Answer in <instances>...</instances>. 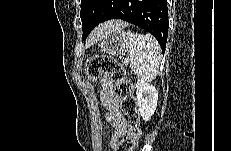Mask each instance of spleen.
Listing matches in <instances>:
<instances>
[{
	"instance_id": "spleen-1",
	"label": "spleen",
	"mask_w": 231,
	"mask_h": 151,
	"mask_svg": "<svg viewBox=\"0 0 231 151\" xmlns=\"http://www.w3.org/2000/svg\"><path fill=\"white\" fill-rule=\"evenodd\" d=\"M126 51L130 55V66L135 75L147 82L158 73L161 53L158 41L150 34L127 33Z\"/></svg>"
}]
</instances>
